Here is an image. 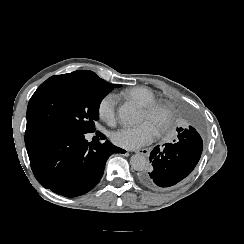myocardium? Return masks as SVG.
I'll list each match as a JSON object with an SVG mask.
<instances>
[{
  "instance_id": "myocardium-1",
  "label": "myocardium",
  "mask_w": 244,
  "mask_h": 244,
  "mask_svg": "<svg viewBox=\"0 0 244 244\" xmlns=\"http://www.w3.org/2000/svg\"><path fill=\"white\" fill-rule=\"evenodd\" d=\"M142 109L146 112H152V111H156V110H160L162 109L164 112L167 113V115L169 116L168 118V123L165 125V127L158 131L159 134L163 135L166 134L167 132H169L172 127H173V112L171 111V109L168 106H163V104L161 103H152V104H148L142 107Z\"/></svg>"
}]
</instances>
